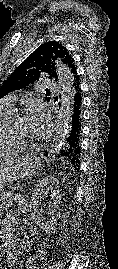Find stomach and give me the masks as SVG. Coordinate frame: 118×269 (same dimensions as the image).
Listing matches in <instances>:
<instances>
[{
  "mask_svg": "<svg viewBox=\"0 0 118 269\" xmlns=\"http://www.w3.org/2000/svg\"><path fill=\"white\" fill-rule=\"evenodd\" d=\"M40 165V159L31 155L0 166V194L6 185L23 177L32 176L39 169Z\"/></svg>",
  "mask_w": 118,
  "mask_h": 269,
  "instance_id": "stomach-1",
  "label": "stomach"
}]
</instances>
